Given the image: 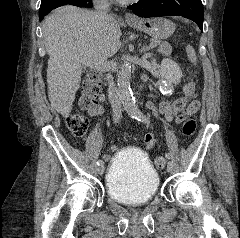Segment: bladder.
Listing matches in <instances>:
<instances>
[{"label": "bladder", "instance_id": "31cf9c89", "mask_svg": "<svg viewBox=\"0 0 240 238\" xmlns=\"http://www.w3.org/2000/svg\"><path fill=\"white\" fill-rule=\"evenodd\" d=\"M159 182L148 156L136 148H125L111 161L106 190L108 196L119 203L144 204L156 196Z\"/></svg>", "mask_w": 240, "mask_h": 238}]
</instances>
